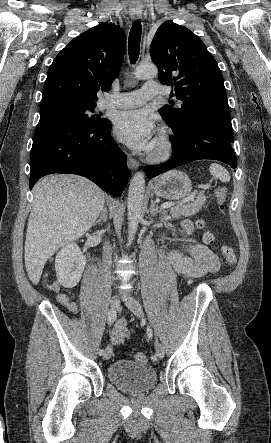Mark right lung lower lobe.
I'll list each match as a JSON object with an SVG mask.
<instances>
[{
  "mask_svg": "<svg viewBox=\"0 0 271 443\" xmlns=\"http://www.w3.org/2000/svg\"><path fill=\"white\" fill-rule=\"evenodd\" d=\"M89 127L70 120L38 124L30 155V189L42 176L77 174L119 197L127 182L126 155L111 137V122Z\"/></svg>",
  "mask_w": 271,
  "mask_h": 443,
  "instance_id": "obj_1",
  "label": "right lung lower lobe"
}]
</instances>
